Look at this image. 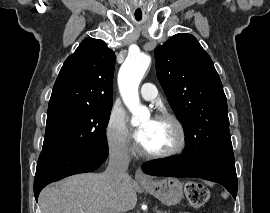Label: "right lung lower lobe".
<instances>
[{"instance_id":"right-lung-lower-lobe-1","label":"right lung lower lobe","mask_w":270,"mask_h":213,"mask_svg":"<svg viewBox=\"0 0 270 213\" xmlns=\"http://www.w3.org/2000/svg\"><path fill=\"white\" fill-rule=\"evenodd\" d=\"M108 157V145L81 151L41 153L37 163L34 195L38 201L40 191L49 183L70 175L96 170Z\"/></svg>"}]
</instances>
